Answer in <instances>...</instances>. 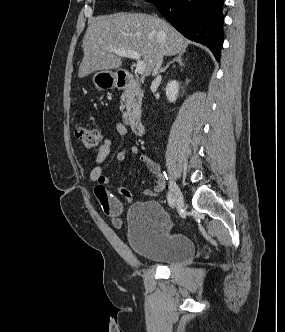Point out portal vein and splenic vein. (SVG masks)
<instances>
[{
	"label": "portal vein and splenic vein",
	"mask_w": 285,
	"mask_h": 332,
	"mask_svg": "<svg viewBox=\"0 0 285 332\" xmlns=\"http://www.w3.org/2000/svg\"><path fill=\"white\" fill-rule=\"evenodd\" d=\"M109 52L115 53L116 55L120 57H128L132 58L137 61L136 64V72L138 74H143L145 71V63L141 60L140 53L132 50H123V49H116L113 47L107 48Z\"/></svg>",
	"instance_id": "1"
}]
</instances>
